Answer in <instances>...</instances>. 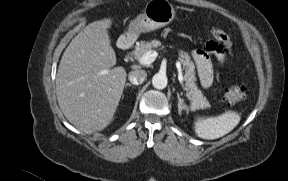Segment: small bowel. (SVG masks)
I'll return each mask as SVG.
<instances>
[{
	"label": "small bowel",
	"mask_w": 288,
	"mask_h": 181,
	"mask_svg": "<svg viewBox=\"0 0 288 181\" xmlns=\"http://www.w3.org/2000/svg\"><path fill=\"white\" fill-rule=\"evenodd\" d=\"M210 52H212L219 65L225 63V56L222 52L216 51L211 46H208ZM192 57L197 65L199 72L200 83L203 88H209L214 79L212 62L208 56V53L204 50L198 49L192 52Z\"/></svg>",
	"instance_id": "small-bowel-1"
}]
</instances>
